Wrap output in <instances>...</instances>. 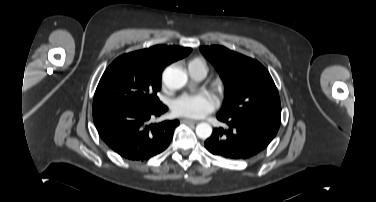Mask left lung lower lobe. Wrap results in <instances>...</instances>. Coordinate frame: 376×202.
<instances>
[{"label": "left lung lower lobe", "mask_w": 376, "mask_h": 202, "mask_svg": "<svg viewBox=\"0 0 376 202\" xmlns=\"http://www.w3.org/2000/svg\"><path fill=\"white\" fill-rule=\"evenodd\" d=\"M217 119L228 127L215 128L204 145L212 154L229 159H247L259 154L267 148L280 127L278 122L253 115L229 117L218 114Z\"/></svg>", "instance_id": "left-lung-lower-lobe-1"}]
</instances>
